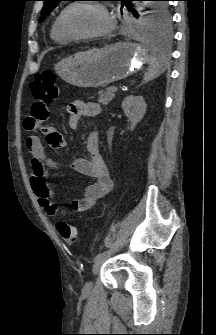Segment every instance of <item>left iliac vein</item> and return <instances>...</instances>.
Returning <instances> with one entry per match:
<instances>
[{
  "label": "left iliac vein",
  "instance_id": "left-iliac-vein-1",
  "mask_svg": "<svg viewBox=\"0 0 216 335\" xmlns=\"http://www.w3.org/2000/svg\"><path fill=\"white\" fill-rule=\"evenodd\" d=\"M103 263V259H99L97 261H95L94 265H93V269H92V274L96 275L98 274V272L100 271V268L102 266ZM93 283L92 281H89L87 283H85L84 287H83V294H88L90 293L91 289H92Z\"/></svg>",
  "mask_w": 216,
  "mask_h": 335
}]
</instances>
